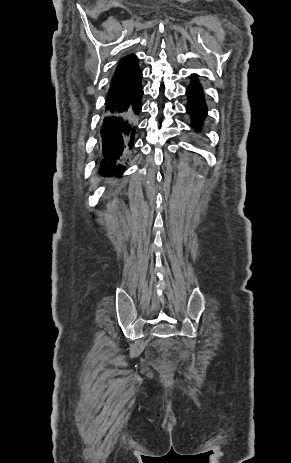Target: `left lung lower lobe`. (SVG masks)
Listing matches in <instances>:
<instances>
[{
	"instance_id": "obj_1",
	"label": "left lung lower lobe",
	"mask_w": 291,
	"mask_h": 463,
	"mask_svg": "<svg viewBox=\"0 0 291 463\" xmlns=\"http://www.w3.org/2000/svg\"><path fill=\"white\" fill-rule=\"evenodd\" d=\"M186 95L188 97L186 111L191 118L190 126L196 133H199L207 117V105L202 86L197 81L196 75H191V84L186 89Z\"/></svg>"
}]
</instances>
